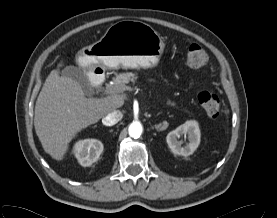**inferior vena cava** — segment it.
I'll return each instance as SVG.
<instances>
[{
	"mask_svg": "<svg viewBox=\"0 0 277 218\" xmlns=\"http://www.w3.org/2000/svg\"><path fill=\"white\" fill-rule=\"evenodd\" d=\"M123 117V114L119 110H113L112 112L108 113L103 119L102 123L105 126H113L118 123Z\"/></svg>",
	"mask_w": 277,
	"mask_h": 218,
	"instance_id": "obj_1",
	"label": "inferior vena cava"
}]
</instances>
